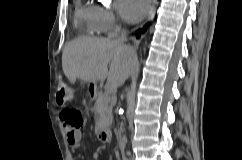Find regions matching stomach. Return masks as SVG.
<instances>
[{
  "label": "stomach",
  "instance_id": "1",
  "mask_svg": "<svg viewBox=\"0 0 242 160\" xmlns=\"http://www.w3.org/2000/svg\"><path fill=\"white\" fill-rule=\"evenodd\" d=\"M89 88H90L92 91L96 92V88H97L96 83H89Z\"/></svg>",
  "mask_w": 242,
  "mask_h": 160
}]
</instances>
